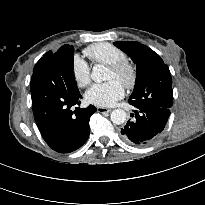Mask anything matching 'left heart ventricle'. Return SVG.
Here are the masks:
<instances>
[{
  "instance_id": "1",
  "label": "left heart ventricle",
  "mask_w": 205,
  "mask_h": 205,
  "mask_svg": "<svg viewBox=\"0 0 205 205\" xmlns=\"http://www.w3.org/2000/svg\"><path fill=\"white\" fill-rule=\"evenodd\" d=\"M106 80H112V79H115V80H118L122 83V80L120 77H118L117 75H115L111 70H107V74H106V77H105Z\"/></svg>"
}]
</instances>
